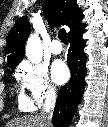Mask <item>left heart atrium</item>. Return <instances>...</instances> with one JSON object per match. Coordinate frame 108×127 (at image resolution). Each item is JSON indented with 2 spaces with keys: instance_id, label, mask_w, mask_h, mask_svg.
I'll return each mask as SVG.
<instances>
[{
  "instance_id": "1",
  "label": "left heart atrium",
  "mask_w": 108,
  "mask_h": 127,
  "mask_svg": "<svg viewBox=\"0 0 108 127\" xmlns=\"http://www.w3.org/2000/svg\"><path fill=\"white\" fill-rule=\"evenodd\" d=\"M52 78L57 84H63L69 78V69L62 60H56L51 68Z\"/></svg>"
}]
</instances>
